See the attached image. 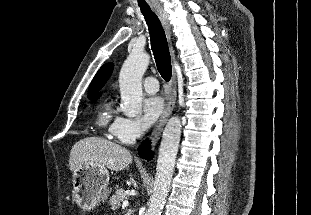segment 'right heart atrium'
Returning a JSON list of instances; mask_svg holds the SVG:
<instances>
[{
  "label": "right heart atrium",
  "instance_id": "right-heart-atrium-1",
  "mask_svg": "<svg viewBox=\"0 0 311 215\" xmlns=\"http://www.w3.org/2000/svg\"><path fill=\"white\" fill-rule=\"evenodd\" d=\"M111 134L120 143L132 144L142 134V129L137 120L128 117H119L111 128Z\"/></svg>",
  "mask_w": 311,
  "mask_h": 215
}]
</instances>
